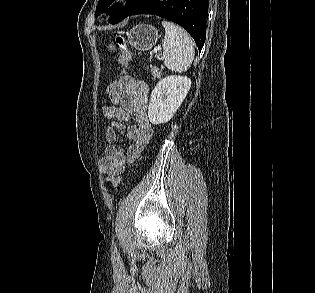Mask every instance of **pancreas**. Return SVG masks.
Returning a JSON list of instances; mask_svg holds the SVG:
<instances>
[{
    "label": "pancreas",
    "mask_w": 315,
    "mask_h": 293,
    "mask_svg": "<svg viewBox=\"0 0 315 293\" xmlns=\"http://www.w3.org/2000/svg\"><path fill=\"white\" fill-rule=\"evenodd\" d=\"M151 72H152V77H153V79H156V78H160V77H161L162 71H161V69H159L158 67H156V66H151Z\"/></svg>",
    "instance_id": "obj_1"
}]
</instances>
